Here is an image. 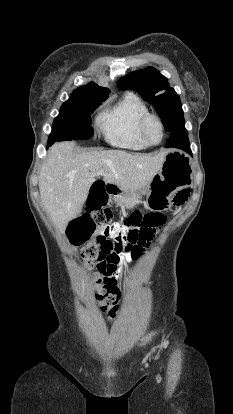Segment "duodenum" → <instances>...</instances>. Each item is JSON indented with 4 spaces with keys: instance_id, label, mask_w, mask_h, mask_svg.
Masks as SVG:
<instances>
[{
    "instance_id": "1",
    "label": "duodenum",
    "mask_w": 233,
    "mask_h": 414,
    "mask_svg": "<svg viewBox=\"0 0 233 414\" xmlns=\"http://www.w3.org/2000/svg\"><path fill=\"white\" fill-rule=\"evenodd\" d=\"M116 187L118 186L113 182L96 179L91 186L85 210L87 212H98L100 205L107 206L106 197L115 195Z\"/></svg>"
}]
</instances>
